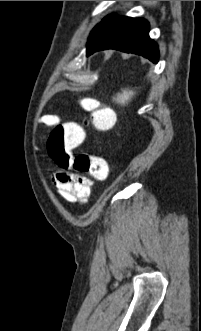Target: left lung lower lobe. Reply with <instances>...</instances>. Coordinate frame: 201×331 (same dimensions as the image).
Returning <instances> with one entry per match:
<instances>
[{"instance_id": "1", "label": "left lung lower lobe", "mask_w": 201, "mask_h": 331, "mask_svg": "<svg viewBox=\"0 0 201 331\" xmlns=\"http://www.w3.org/2000/svg\"><path fill=\"white\" fill-rule=\"evenodd\" d=\"M148 33L146 20L110 14L92 31L87 42V56L99 50L116 49L142 55L157 63L158 46Z\"/></svg>"}]
</instances>
